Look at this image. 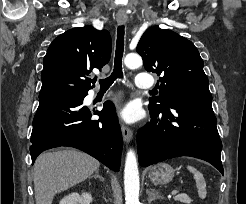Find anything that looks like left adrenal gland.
I'll return each mask as SVG.
<instances>
[{"mask_svg": "<svg viewBox=\"0 0 246 204\" xmlns=\"http://www.w3.org/2000/svg\"><path fill=\"white\" fill-rule=\"evenodd\" d=\"M147 193H148V202L151 203V201H152L153 199H155L156 193H152V192H150V191H148V190H147Z\"/></svg>", "mask_w": 246, "mask_h": 204, "instance_id": "a2214340", "label": "left adrenal gland"}]
</instances>
